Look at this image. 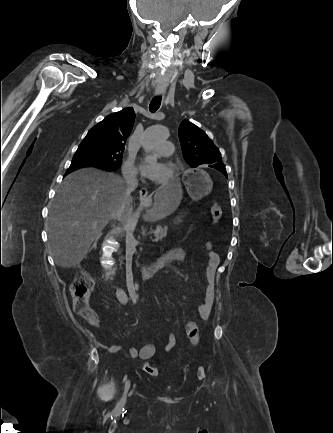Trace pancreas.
I'll list each match as a JSON object with an SVG mask.
<instances>
[{"mask_svg": "<svg viewBox=\"0 0 333 433\" xmlns=\"http://www.w3.org/2000/svg\"><path fill=\"white\" fill-rule=\"evenodd\" d=\"M167 226H157L156 230L154 231L155 235L159 238V240H162L167 236Z\"/></svg>", "mask_w": 333, "mask_h": 433, "instance_id": "obj_1", "label": "pancreas"}]
</instances>
